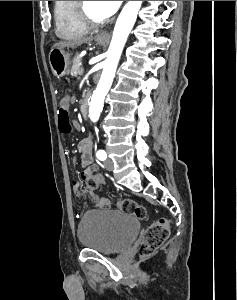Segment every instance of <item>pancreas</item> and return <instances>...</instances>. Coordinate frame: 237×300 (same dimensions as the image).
I'll list each match as a JSON object with an SVG mask.
<instances>
[{
	"label": "pancreas",
	"instance_id": "obj_1",
	"mask_svg": "<svg viewBox=\"0 0 237 300\" xmlns=\"http://www.w3.org/2000/svg\"><path fill=\"white\" fill-rule=\"evenodd\" d=\"M80 63H81V59H80L79 55H77V57H75V59L73 61V65L71 67V73H75V77H77L78 73H80L78 71V68H81Z\"/></svg>",
	"mask_w": 237,
	"mask_h": 300
}]
</instances>
